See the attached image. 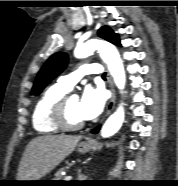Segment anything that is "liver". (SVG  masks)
I'll list each match as a JSON object with an SVG mask.
<instances>
[{
	"instance_id": "liver-1",
	"label": "liver",
	"mask_w": 178,
	"mask_h": 186,
	"mask_svg": "<svg viewBox=\"0 0 178 186\" xmlns=\"http://www.w3.org/2000/svg\"><path fill=\"white\" fill-rule=\"evenodd\" d=\"M81 136L43 135L32 139L21 158L17 178L19 181L38 180L50 173L70 153Z\"/></svg>"
}]
</instances>
